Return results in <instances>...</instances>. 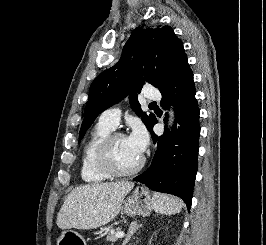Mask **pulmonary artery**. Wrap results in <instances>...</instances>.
Wrapping results in <instances>:
<instances>
[{"instance_id":"pulmonary-artery-1","label":"pulmonary artery","mask_w":266,"mask_h":245,"mask_svg":"<svg viewBox=\"0 0 266 245\" xmlns=\"http://www.w3.org/2000/svg\"><path fill=\"white\" fill-rule=\"evenodd\" d=\"M145 90L148 91L146 97H143V100L146 101H158L159 100V91H151V86H146ZM121 111L118 108H110L105 110L99 116V122L108 124L112 128H115L120 120Z\"/></svg>"}]
</instances>
